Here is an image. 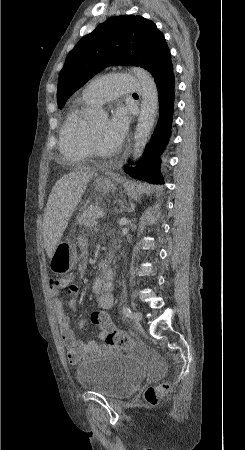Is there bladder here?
Returning <instances> with one entry per match:
<instances>
[{"label": "bladder", "mask_w": 245, "mask_h": 450, "mask_svg": "<svg viewBox=\"0 0 245 450\" xmlns=\"http://www.w3.org/2000/svg\"><path fill=\"white\" fill-rule=\"evenodd\" d=\"M76 378L84 390L109 398H123L141 384L143 372L128 356L103 355L79 365Z\"/></svg>", "instance_id": "31cf9c89"}]
</instances>
